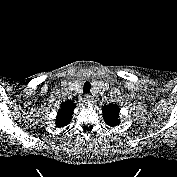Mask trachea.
<instances>
[{"instance_id": "1", "label": "trachea", "mask_w": 177, "mask_h": 177, "mask_svg": "<svg viewBox=\"0 0 177 177\" xmlns=\"http://www.w3.org/2000/svg\"><path fill=\"white\" fill-rule=\"evenodd\" d=\"M90 90H91L90 82H85L83 86V92L87 94L90 93Z\"/></svg>"}]
</instances>
